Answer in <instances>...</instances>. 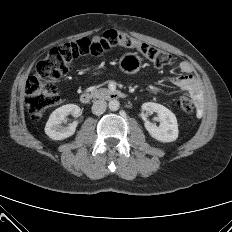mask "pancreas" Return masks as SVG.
Returning a JSON list of instances; mask_svg holds the SVG:
<instances>
[{"label": "pancreas", "mask_w": 232, "mask_h": 232, "mask_svg": "<svg viewBox=\"0 0 232 232\" xmlns=\"http://www.w3.org/2000/svg\"><path fill=\"white\" fill-rule=\"evenodd\" d=\"M109 92V90L108 89H106V88H101V89H94L93 91H92V93H93V95L95 96V97H102L103 95H105V94H107Z\"/></svg>", "instance_id": "cf45deb5"}]
</instances>
